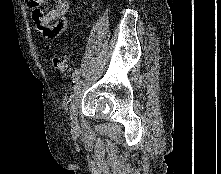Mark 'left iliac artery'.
Segmentation results:
<instances>
[{
	"instance_id": "1",
	"label": "left iliac artery",
	"mask_w": 221,
	"mask_h": 174,
	"mask_svg": "<svg viewBox=\"0 0 221 174\" xmlns=\"http://www.w3.org/2000/svg\"><path fill=\"white\" fill-rule=\"evenodd\" d=\"M79 77H80V70L76 69L72 75L73 83H76L78 81Z\"/></svg>"
}]
</instances>
